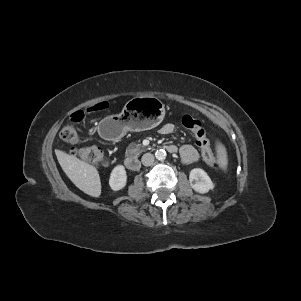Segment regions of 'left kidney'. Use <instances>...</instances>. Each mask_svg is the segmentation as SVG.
<instances>
[{
  "mask_svg": "<svg viewBox=\"0 0 301 301\" xmlns=\"http://www.w3.org/2000/svg\"><path fill=\"white\" fill-rule=\"evenodd\" d=\"M189 181L191 187L201 194L207 193L215 186L208 174L200 168H194L190 171Z\"/></svg>",
  "mask_w": 301,
  "mask_h": 301,
  "instance_id": "5707ae66",
  "label": "left kidney"
}]
</instances>
